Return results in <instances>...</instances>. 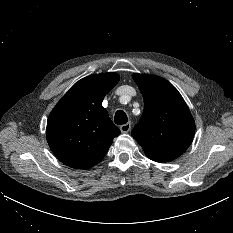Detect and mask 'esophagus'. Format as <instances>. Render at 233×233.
<instances>
[{"label":"esophagus","instance_id":"34e87169","mask_svg":"<svg viewBox=\"0 0 233 233\" xmlns=\"http://www.w3.org/2000/svg\"><path fill=\"white\" fill-rule=\"evenodd\" d=\"M120 130L122 133H128L131 130V123L128 122L120 126Z\"/></svg>","mask_w":233,"mask_h":233}]
</instances>
